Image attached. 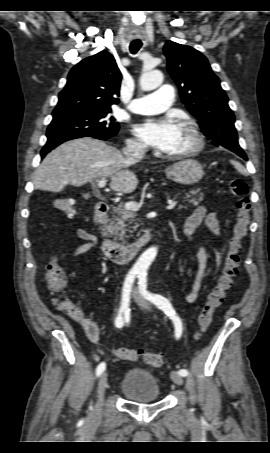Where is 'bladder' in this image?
<instances>
[{"label":"bladder","mask_w":270,"mask_h":453,"mask_svg":"<svg viewBox=\"0 0 270 453\" xmlns=\"http://www.w3.org/2000/svg\"><path fill=\"white\" fill-rule=\"evenodd\" d=\"M120 391L128 400L137 403L156 402L161 395L157 379L141 368H132L124 374Z\"/></svg>","instance_id":"obj_1"}]
</instances>
